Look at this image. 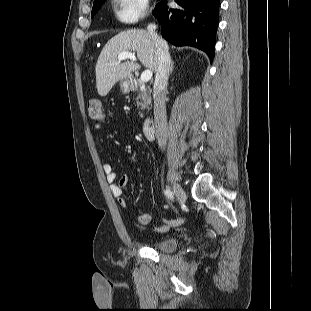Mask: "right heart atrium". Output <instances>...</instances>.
Wrapping results in <instances>:
<instances>
[{
    "mask_svg": "<svg viewBox=\"0 0 311 311\" xmlns=\"http://www.w3.org/2000/svg\"><path fill=\"white\" fill-rule=\"evenodd\" d=\"M115 16L125 25H134L148 12L149 0H113Z\"/></svg>",
    "mask_w": 311,
    "mask_h": 311,
    "instance_id": "d8ad5b80",
    "label": "right heart atrium"
}]
</instances>
